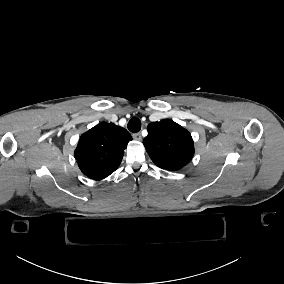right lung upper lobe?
I'll return each mask as SVG.
<instances>
[{
    "mask_svg": "<svg viewBox=\"0 0 284 284\" xmlns=\"http://www.w3.org/2000/svg\"><path fill=\"white\" fill-rule=\"evenodd\" d=\"M130 133L113 123L102 122L82 134L74 152L80 170L87 177L102 180L121 163Z\"/></svg>",
    "mask_w": 284,
    "mask_h": 284,
    "instance_id": "obj_1",
    "label": "right lung upper lobe"
}]
</instances>
